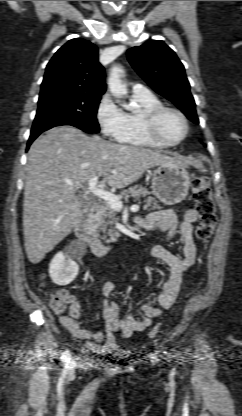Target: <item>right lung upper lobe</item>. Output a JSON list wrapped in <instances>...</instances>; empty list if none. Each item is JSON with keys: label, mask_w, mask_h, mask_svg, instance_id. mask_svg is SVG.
I'll list each match as a JSON object with an SVG mask.
<instances>
[{"label": "right lung upper lobe", "mask_w": 242, "mask_h": 416, "mask_svg": "<svg viewBox=\"0 0 242 416\" xmlns=\"http://www.w3.org/2000/svg\"><path fill=\"white\" fill-rule=\"evenodd\" d=\"M105 73L98 62V48L75 38L52 57L46 67L40 95L55 92L101 96L106 90Z\"/></svg>", "instance_id": "cb5924a9"}]
</instances>
